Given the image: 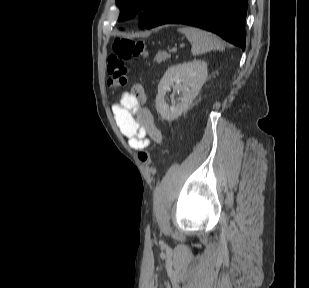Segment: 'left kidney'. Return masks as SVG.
Wrapping results in <instances>:
<instances>
[{"mask_svg":"<svg viewBox=\"0 0 309 288\" xmlns=\"http://www.w3.org/2000/svg\"><path fill=\"white\" fill-rule=\"evenodd\" d=\"M208 76L207 63L203 60H195L168 68L158 85L156 96V109L162 119L172 121L186 112L198 95ZM176 80H178L176 82ZM173 88L171 95L172 105L165 101L167 91ZM175 92L182 93L180 103L174 99Z\"/></svg>","mask_w":309,"mask_h":288,"instance_id":"obj_1","label":"left kidney"}]
</instances>
